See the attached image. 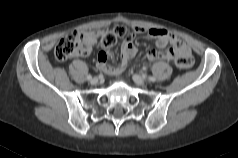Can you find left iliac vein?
<instances>
[{"label": "left iliac vein", "mask_w": 238, "mask_h": 158, "mask_svg": "<svg viewBox=\"0 0 238 158\" xmlns=\"http://www.w3.org/2000/svg\"><path fill=\"white\" fill-rule=\"evenodd\" d=\"M133 80H134V82L137 84V85H144L145 84V80L141 77V76H139V75H133Z\"/></svg>", "instance_id": "4c4485c4"}]
</instances>
